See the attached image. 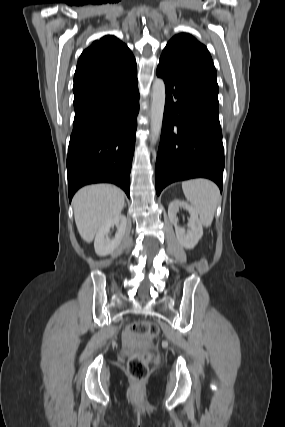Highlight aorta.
<instances>
[{
    "label": "aorta",
    "mask_w": 285,
    "mask_h": 427,
    "mask_svg": "<svg viewBox=\"0 0 285 427\" xmlns=\"http://www.w3.org/2000/svg\"><path fill=\"white\" fill-rule=\"evenodd\" d=\"M165 84L160 78H156L152 85L151 106H150V141L151 145L156 144L162 128L163 114L165 107Z\"/></svg>",
    "instance_id": "762f6f07"
}]
</instances>
